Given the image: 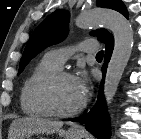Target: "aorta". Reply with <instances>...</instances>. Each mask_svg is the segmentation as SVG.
Instances as JSON below:
<instances>
[{
    "instance_id": "1",
    "label": "aorta",
    "mask_w": 141,
    "mask_h": 139,
    "mask_svg": "<svg viewBox=\"0 0 141 139\" xmlns=\"http://www.w3.org/2000/svg\"><path fill=\"white\" fill-rule=\"evenodd\" d=\"M75 23L82 29L102 24L113 33L114 49L104 83L105 101L106 105L110 107L131 56L134 42L131 24L123 15L110 10H94L81 14L76 18Z\"/></svg>"
}]
</instances>
